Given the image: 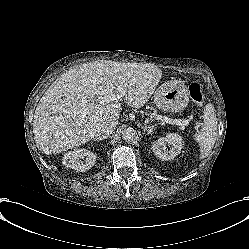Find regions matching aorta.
<instances>
[{
  "label": "aorta",
  "instance_id": "1",
  "mask_svg": "<svg viewBox=\"0 0 249 249\" xmlns=\"http://www.w3.org/2000/svg\"><path fill=\"white\" fill-rule=\"evenodd\" d=\"M136 132L133 128H126L122 132V138L128 143H132L136 140Z\"/></svg>",
  "mask_w": 249,
  "mask_h": 249
}]
</instances>
